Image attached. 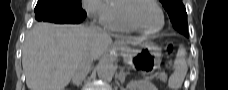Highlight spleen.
<instances>
[{
	"instance_id": "3e777b00",
	"label": "spleen",
	"mask_w": 228,
	"mask_h": 90,
	"mask_svg": "<svg viewBox=\"0 0 228 90\" xmlns=\"http://www.w3.org/2000/svg\"><path fill=\"white\" fill-rule=\"evenodd\" d=\"M173 67L174 72L169 78L168 86L172 90H178V88L182 86V83L188 71L185 49L179 48Z\"/></svg>"
}]
</instances>
